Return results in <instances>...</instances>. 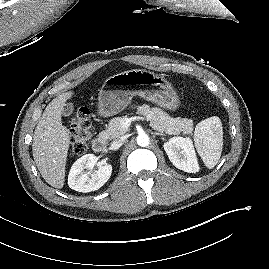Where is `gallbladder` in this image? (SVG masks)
<instances>
[{
    "mask_svg": "<svg viewBox=\"0 0 269 269\" xmlns=\"http://www.w3.org/2000/svg\"><path fill=\"white\" fill-rule=\"evenodd\" d=\"M73 111H74V106H73V104H72V103H67V104L63 107V112H62V114H63V116L68 117V116L72 115Z\"/></svg>",
    "mask_w": 269,
    "mask_h": 269,
    "instance_id": "1",
    "label": "gallbladder"
}]
</instances>
